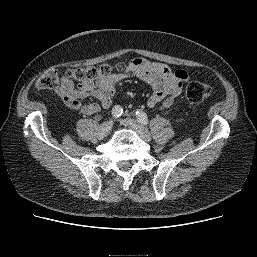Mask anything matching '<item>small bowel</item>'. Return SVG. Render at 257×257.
<instances>
[{"instance_id": "c3829d8e", "label": "small bowel", "mask_w": 257, "mask_h": 257, "mask_svg": "<svg viewBox=\"0 0 257 257\" xmlns=\"http://www.w3.org/2000/svg\"><path fill=\"white\" fill-rule=\"evenodd\" d=\"M135 77L150 85L153 93L147 101L150 108H169L176 97L181 94L183 86L190 76L184 70H172L165 64L149 61L144 58L131 60L122 72L112 73L95 84H79L75 87L72 80L60 79L56 88L67 107L80 111L84 115H94L101 108L112 105L117 86L126 78ZM94 98L97 102L84 104L83 99Z\"/></svg>"}]
</instances>
